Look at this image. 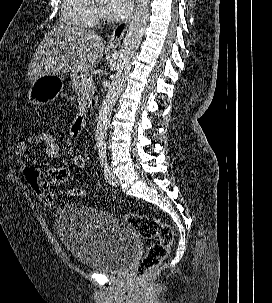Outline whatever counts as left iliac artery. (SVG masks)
<instances>
[{
	"mask_svg": "<svg viewBox=\"0 0 272 303\" xmlns=\"http://www.w3.org/2000/svg\"><path fill=\"white\" fill-rule=\"evenodd\" d=\"M99 159L102 167H106L108 165L107 156H106V144L101 143L98 145Z\"/></svg>",
	"mask_w": 272,
	"mask_h": 303,
	"instance_id": "left-iliac-artery-1",
	"label": "left iliac artery"
}]
</instances>
